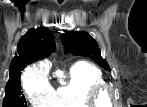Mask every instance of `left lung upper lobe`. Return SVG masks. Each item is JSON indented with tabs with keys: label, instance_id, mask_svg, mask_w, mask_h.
I'll return each instance as SVG.
<instances>
[{
	"label": "left lung upper lobe",
	"instance_id": "left-lung-upper-lobe-1",
	"mask_svg": "<svg viewBox=\"0 0 147 107\" xmlns=\"http://www.w3.org/2000/svg\"><path fill=\"white\" fill-rule=\"evenodd\" d=\"M65 51L72 52L76 56H86L93 59L102 68L110 71L105 59L101 57L97 42L84 31H68L61 36Z\"/></svg>",
	"mask_w": 147,
	"mask_h": 107
}]
</instances>
